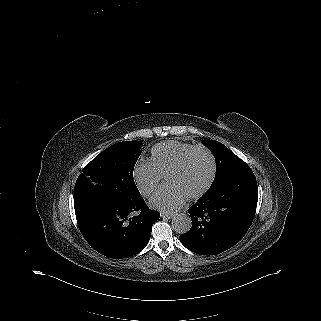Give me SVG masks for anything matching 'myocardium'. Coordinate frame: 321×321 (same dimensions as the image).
<instances>
[{
    "mask_svg": "<svg viewBox=\"0 0 321 321\" xmlns=\"http://www.w3.org/2000/svg\"><path fill=\"white\" fill-rule=\"evenodd\" d=\"M198 153H204L206 154L211 162V172L207 180L199 187L193 189V190H185L177 185L176 181L179 178V176L190 167L192 159L198 154ZM216 177V161L211 153V151L206 147L198 146L195 148L192 152L189 153L188 157L181 162L168 176L167 181L169 183H172L178 187L181 192L190 198H195L203 194L205 191H207L210 186L212 185L214 179Z\"/></svg>",
    "mask_w": 321,
    "mask_h": 321,
    "instance_id": "myocardium-1",
    "label": "myocardium"
}]
</instances>
